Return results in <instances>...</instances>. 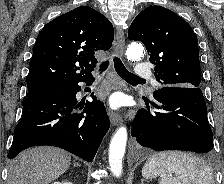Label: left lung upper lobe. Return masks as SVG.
<instances>
[{"label": "left lung upper lobe", "mask_w": 224, "mask_h": 184, "mask_svg": "<svg viewBox=\"0 0 224 184\" xmlns=\"http://www.w3.org/2000/svg\"><path fill=\"white\" fill-rule=\"evenodd\" d=\"M130 40L144 43L155 77L163 86H200L198 40L191 26L174 12L161 7L145 8L128 30Z\"/></svg>", "instance_id": "left-lung-upper-lobe-1"}]
</instances>
